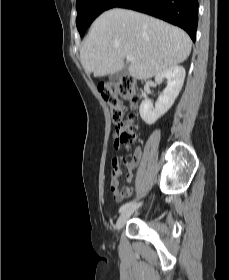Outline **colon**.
<instances>
[{"instance_id":"obj_1","label":"colon","mask_w":229,"mask_h":280,"mask_svg":"<svg viewBox=\"0 0 229 280\" xmlns=\"http://www.w3.org/2000/svg\"><path fill=\"white\" fill-rule=\"evenodd\" d=\"M98 91L109 107L114 124V143H130L134 135L137 115L133 112L127 114L123 101H129L131 104L136 102L138 93L135 80L130 76H124L118 81L100 84ZM126 189L123 188L121 191ZM114 190L119 191L118 186Z\"/></svg>"}]
</instances>
